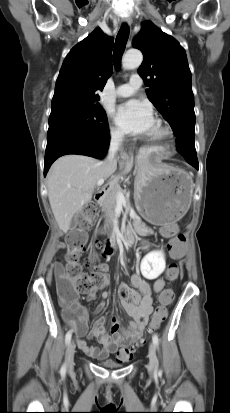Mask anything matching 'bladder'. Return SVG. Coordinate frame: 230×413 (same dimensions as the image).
Returning <instances> with one entry per match:
<instances>
[{
    "label": "bladder",
    "mask_w": 230,
    "mask_h": 413,
    "mask_svg": "<svg viewBox=\"0 0 230 413\" xmlns=\"http://www.w3.org/2000/svg\"><path fill=\"white\" fill-rule=\"evenodd\" d=\"M100 364L104 367L107 368H118L120 367V364H118L117 362L110 360V359H103L100 361Z\"/></svg>",
    "instance_id": "bladder-1"
}]
</instances>
